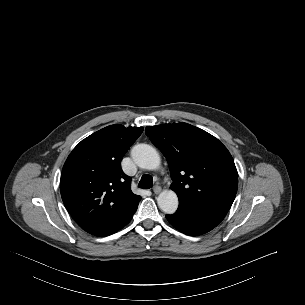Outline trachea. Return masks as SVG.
Instances as JSON below:
<instances>
[{
	"mask_svg": "<svg viewBox=\"0 0 305 305\" xmlns=\"http://www.w3.org/2000/svg\"><path fill=\"white\" fill-rule=\"evenodd\" d=\"M153 180L150 175H143L140 182H139V188L142 189H150L152 187Z\"/></svg>",
	"mask_w": 305,
	"mask_h": 305,
	"instance_id": "obj_1",
	"label": "trachea"
}]
</instances>
